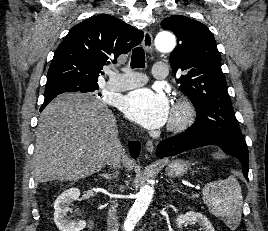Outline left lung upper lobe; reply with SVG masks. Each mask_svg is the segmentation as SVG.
<instances>
[{"mask_svg":"<svg viewBox=\"0 0 268 231\" xmlns=\"http://www.w3.org/2000/svg\"><path fill=\"white\" fill-rule=\"evenodd\" d=\"M161 27L177 36L170 64L174 73L184 71L177 82L197 112L195 123L187 130L247 149L227 91L216 41L208 27L181 15L164 19Z\"/></svg>","mask_w":268,"mask_h":231,"instance_id":"left-lung-upper-lobe-1","label":"left lung upper lobe"}]
</instances>
